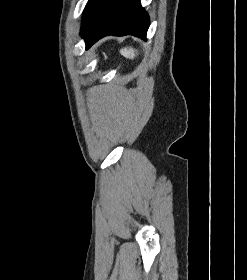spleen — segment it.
Returning <instances> with one entry per match:
<instances>
[{
  "label": "spleen",
  "mask_w": 247,
  "mask_h": 280,
  "mask_svg": "<svg viewBox=\"0 0 247 280\" xmlns=\"http://www.w3.org/2000/svg\"><path fill=\"white\" fill-rule=\"evenodd\" d=\"M120 53H121V55H123L124 57L129 58V59H134V57L136 56L135 50L131 47L121 49Z\"/></svg>",
  "instance_id": "obj_1"
}]
</instances>
